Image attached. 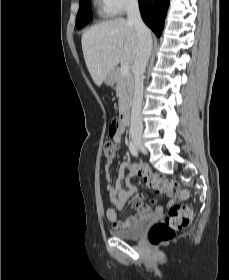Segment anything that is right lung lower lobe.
Segmentation results:
<instances>
[{
    "label": "right lung lower lobe",
    "mask_w": 229,
    "mask_h": 280,
    "mask_svg": "<svg viewBox=\"0 0 229 280\" xmlns=\"http://www.w3.org/2000/svg\"><path fill=\"white\" fill-rule=\"evenodd\" d=\"M169 0H139V8L144 22L160 37L164 27Z\"/></svg>",
    "instance_id": "98d812e1"
}]
</instances>
